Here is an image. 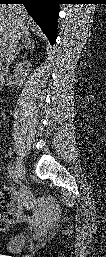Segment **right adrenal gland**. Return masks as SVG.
Returning <instances> with one entry per match:
<instances>
[{"mask_svg":"<svg viewBox=\"0 0 106 257\" xmlns=\"http://www.w3.org/2000/svg\"><path fill=\"white\" fill-rule=\"evenodd\" d=\"M27 49V48H30V49H34L35 48V44L34 42L28 37V36H25L23 39H22V44H20V47L18 48V50L16 51V53L14 54V57H13V62L15 61L17 55L19 54V52L22 50V49Z\"/></svg>","mask_w":106,"mask_h":257,"instance_id":"1","label":"right adrenal gland"}]
</instances>
